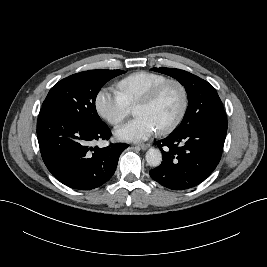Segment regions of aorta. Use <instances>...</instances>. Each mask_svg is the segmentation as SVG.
Returning a JSON list of instances; mask_svg holds the SVG:
<instances>
[{"instance_id":"762f6f07","label":"aorta","mask_w":267,"mask_h":267,"mask_svg":"<svg viewBox=\"0 0 267 267\" xmlns=\"http://www.w3.org/2000/svg\"><path fill=\"white\" fill-rule=\"evenodd\" d=\"M146 162L151 167H158L162 162V154L160 150L150 148L146 153Z\"/></svg>"}]
</instances>
